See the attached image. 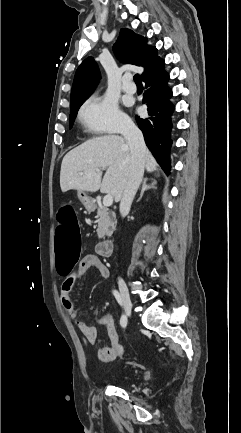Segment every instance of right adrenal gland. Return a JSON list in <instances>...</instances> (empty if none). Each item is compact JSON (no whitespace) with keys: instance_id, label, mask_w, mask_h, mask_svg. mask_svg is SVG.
Returning <instances> with one entry per match:
<instances>
[{"instance_id":"2a0ac1e0","label":"right adrenal gland","mask_w":241,"mask_h":433,"mask_svg":"<svg viewBox=\"0 0 241 433\" xmlns=\"http://www.w3.org/2000/svg\"><path fill=\"white\" fill-rule=\"evenodd\" d=\"M148 178H145L142 182V187H141V193H140V197L138 198L137 202H139L144 194L145 191L150 190V189H157L156 187V181L152 180L151 183H148Z\"/></svg>"}]
</instances>
